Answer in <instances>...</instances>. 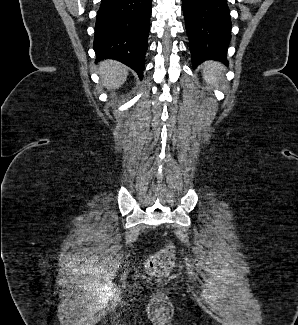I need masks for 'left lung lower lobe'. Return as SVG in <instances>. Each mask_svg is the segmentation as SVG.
Instances as JSON below:
<instances>
[{"label":"left lung lower lobe","instance_id":"left-lung-lower-lobe-1","mask_svg":"<svg viewBox=\"0 0 298 325\" xmlns=\"http://www.w3.org/2000/svg\"><path fill=\"white\" fill-rule=\"evenodd\" d=\"M193 66L205 60L227 63L231 20L227 0H182Z\"/></svg>","mask_w":298,"mask_h":325}]
</instances>
